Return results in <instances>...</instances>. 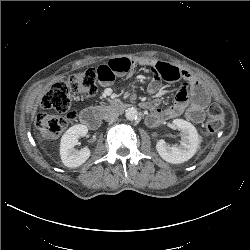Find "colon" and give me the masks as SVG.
<instances>
[{
    "mask_svg": "<svg viewBox=\"0 0 250 250\" xmlns=\"http://www.w3.org/2000/svg\"><path fill=\"white\" fill-rule=\"evenodd\" d=\"M98 72L95 68L76 73L67 78L53 83L42 99L44 109H52L61 115L40 113L36 117V126L42 136L47 140H54L60 136L67 123L75 118V112L71 110V98L81 95L85 98L92 97L97 92ZM224 126V112L216 104L208 108V116L204 125L206 135H212L220 131Z\"/></svg>",
    "mask_w": 250,
    "mask_h": 250,
    "instance_id": "colon-1",
    "label": "colon"
}]
</instances>
